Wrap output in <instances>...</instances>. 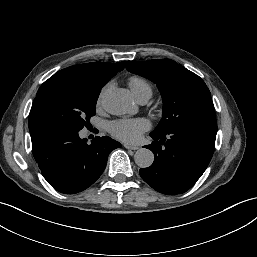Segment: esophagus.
I'll use <instances>...</instances> for the list:
<instances>
[{
  "mask_svg": "<svg viewBox=\"0 0 257 257\" xmlns=\"http://www.w3.org/2000/svg\"><path fill=\"white\" fill-rule=\"evenodd\" d=\"M124 147L126 149H130V150H137V149H139V146L129 145V144H125Z\"/></svg>",
  "mask_w": 257,
  "mask_h": 257,
  "instance_id": "esophagus-1",
  "label": "esophagus"
}]
</instances>
